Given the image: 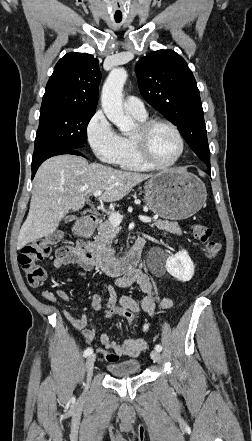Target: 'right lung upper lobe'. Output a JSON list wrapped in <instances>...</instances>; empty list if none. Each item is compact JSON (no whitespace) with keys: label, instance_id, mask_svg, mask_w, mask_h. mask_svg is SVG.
I'll return each instance as SVG.
<instances>
[{"label":"right lung upper lobe","instance_id":"cb5924a9","mask_svg":"<svg viewBox=\"0 0 252 441\" xmlns=\"http://www.w3.org/2000/svg\"><path fill=\"white\" fill-rule=\"evenodd\" d=\"M100 79L97 59L87 53H67L56 64L46 85L41 109L95 111Z\"/></svg>","mask_w":252,"mask_h":441}]
</instances>
